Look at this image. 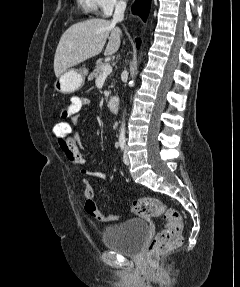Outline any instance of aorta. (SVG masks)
I'll return each mask as SVG.
<instances>
[{"mask_svg":"<svg viewBox=\"0 0 240 287\" xmlns=\"http://www.w3.org/2000/svg\"><path fill=\"white\" fill-rule=\"evenodd\" d=\"M125 120H124V115H123V121L120 127V134H119V139H125Z\"/></svg>","mask_w":240,"mask_h":287,"instance_id":"aorta-1","label":"aorta"}]
</instances>
